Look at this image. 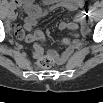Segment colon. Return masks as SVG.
Returning a JSON list of instances; mask_svg holds the SVG:
<instances>
[{
  "label": "colon",
  "instance_id": "1",
  "mask_svg": "<svg viewBox=\"0 0 103 103\" xmlns=\"http://www.w3.org/2000/svg\"><path fill=\"white\" fill-rule=\"evenodd\" d=\"M61 45L68 48L70 46V39L64 38L61 41ZM57 60L59 61L58 56L56 54L51 53L40 57L37 61V64L43 69H49L54 66Z\"/></svg>",
  "mask_w": 103,
  "mask_h": 103
}]
</instances>
